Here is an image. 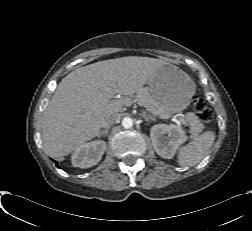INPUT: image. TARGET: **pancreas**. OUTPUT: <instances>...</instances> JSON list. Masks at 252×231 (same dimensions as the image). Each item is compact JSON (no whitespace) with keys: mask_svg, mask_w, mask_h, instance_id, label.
I'll list each match as a JSON object with an SVG mask.
<instances>
[{"mask_svg":"<svg viewBox=\"0 0 252 231\" xmlns=\"http://www.w3.org/2000/svg\"><path fill=\"white\" fill-rule=\"evenodd\" d=\"M134 101H136L139 105L144 106L149 112L154 115H169L162 112V110L158 107L154 98L146 88H141L140 90H138L134 97ZM185 122L190 126V133L194 136L200 133L203 128V124L194 113H188L185 118Z\"/></svg>","mask_w":252,"mask_h":231,"instance_id":"obj_1","label":"pancreas"}]
</instances>
